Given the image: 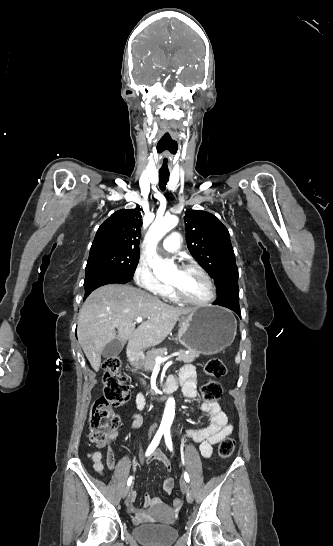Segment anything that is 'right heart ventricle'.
<instances>
[{"mask_svg":"<svg viewBox=\"0 0 333 546\" xmlns=\"http://www.w3.org/2000/svg\"><path fill=\"white\" fill-rule=\"evenodd\" d=\"M165 296H166L167 298H169V299H172V300L175 299V297L173 296V294L171 293L170 290L165 294Z\"/></svg>","mask_w":333,"mask_h":546,"instance_id":"1","label":"right heart ventricle"}]
</instances>
